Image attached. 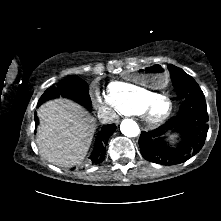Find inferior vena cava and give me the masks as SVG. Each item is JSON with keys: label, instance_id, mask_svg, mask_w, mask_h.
<instances>
[{"label": "inferior vena cava", "instance_id": "inferior-vena-cava-1", "mask_svg": "<svg viewBox=\"0 0 221 221\" xmlns=\"http://www.w3.org/2000/svg\"><path fill=\"white\" fill-rule=\"evenodd\" d=\"M98 118L101 123L107 124L112 123L115 118V114L111 110H106V108H101L98 111Z\"/></svg>", "mask_w": 221, "mask_h": 221}]
</instances>
